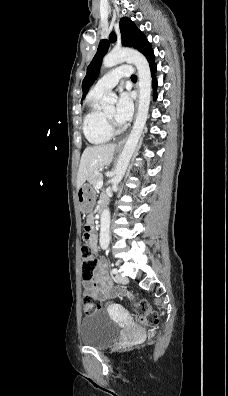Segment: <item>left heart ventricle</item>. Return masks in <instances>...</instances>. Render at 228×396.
<instances>
[{
  "label": "left heart ventricle",
  "mask_w": 228,
  "mask_h": 396,
  "mask_svg": "<svg viewBox=\"0 0 228 396\" xmlns=\"http://www.w3.org/2000/svg\"><path fill=\"white\" fill-rule=\"evenodd\" d=\"M114 112H115V108L114 107H110L109 109H107L105 111V114L114 121Z\"/></svg>",
  "instance_id": "1"
}]
</instances>
